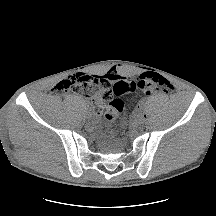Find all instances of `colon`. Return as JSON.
Returning a JSON list of instances; mask_svg holds the SVG:
<instances>
[{"label": "colon", "instance_id": "obj_1", "mask_svg": "<svg viewBox=\"0 0 216 216\" xmlns=\"http://www.w3.org/2000/svg\"><path fill=\"white\" fill-rule=\"evenodd\" d=\"M55 89L72 92L84 98L93 99V101L99 97L102 104H95V107L99 108L100 112L103 111L106 121L111 122L124 109L121 95L135 90H141L145 94L152 92L170 93L173 86L167 79L157 74H145L132 80L120 79L113 83L105 76L75 74L60 81Z\"/></svg>", "mask_w": 216, "mask_h": 216}]
</instances>
